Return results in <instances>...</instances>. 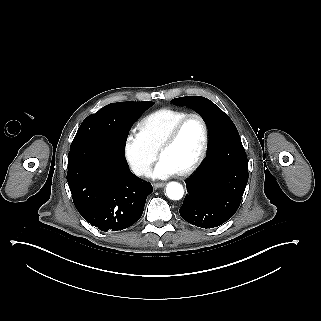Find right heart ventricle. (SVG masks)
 <instances>
[{"label":"right heart ventricle","mask_w":321,"mask_h":321,"mask_svg":"<svg viewBox=\"0 0 321 321\" xmlns=\"http://www.w3.org/2000/svg\"><path fill=\"white\" fill-rule=\"evenodd\" d=\"M188 114L190 113L183 109L160 108L146 115L139 127L147 140L155 146L179 119Z\"/></svg>","instance_id":"obj_1"}]
</instances>
